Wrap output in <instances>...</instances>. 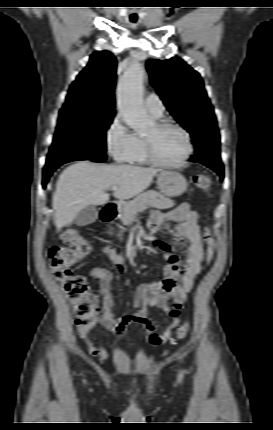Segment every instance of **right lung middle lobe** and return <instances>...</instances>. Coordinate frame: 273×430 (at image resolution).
<instances>
[{"mask_svg": "<svg viewBox=\"0 0 273 430\" xmlns=\"http://www.w3.org/2000/svg\"><path fill=\"white\" fill-rule=\"evenodd\" d=\"M113 117L114 113L61 110L44 170L103 155L106 152V131Z\"/></svg>", "mask_w": 273, "mask_h": 430, "instance_id": "1", "label": "right lung middle lobe"}]
</instances>
